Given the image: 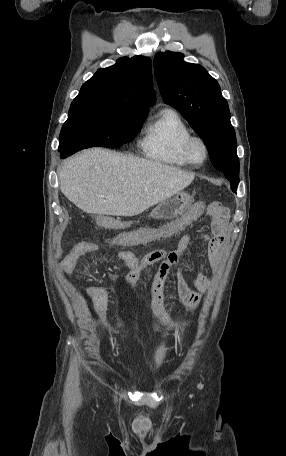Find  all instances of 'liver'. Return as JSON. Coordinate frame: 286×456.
Listing matches in <instances>:
<instances>
[{
	"label": "liver",
	"instance_id": "obj_1",
	"mask_svg": "<svg viewBox=\"0 0 286 456\" xmlns=\"http://www.w3.org/2000/svg\"><path fill=\"white\" fill-rule=\"evenodd\" d=\"M195 174L173 166L93 148L59 172L61 192L86 213L139 215L186 188Z\"/></svg>",
	"mask_w": 286,
	"mask_h": 456
}]
</instances>
